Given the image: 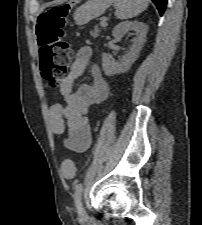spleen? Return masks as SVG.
Segmentation results:
<instances>
[{
  "label": "spleen",
  "mask_w": 202,
  "mask_h": 225,
  "mask_svg": "<svg viewBox=\"0 0 202 225\" xmlns=\"http://www.w3.org/2000/svg\"><path fill=\"white\" fill-rule=\"evenodd\" d=\"M116 17L124 20L136 17L148 7L149 0H114Z\"/></svg>",
  "instance_id": "obj_1"
}]
</instances>
